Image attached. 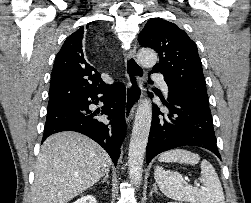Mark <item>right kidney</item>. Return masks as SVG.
Wrapping results in <instances>:
<instances>
[{
    "label": "right kidney",
    "instance_id": "1",
    "mask_svg": "<svg viewBox=\"0 0 251 203\" xmlns=\"http://www.w3.org/2000/svg\"><path fill=\"white\" fill-rule=\"evenodd\" d=\"M73 203H97L96 199L92 195L82 196Z\"/></svg>",
    "mask_w": 251,
    "mask_h": 203
}]
</instances>
